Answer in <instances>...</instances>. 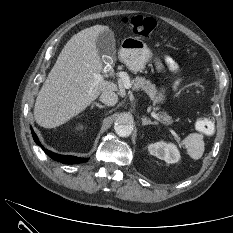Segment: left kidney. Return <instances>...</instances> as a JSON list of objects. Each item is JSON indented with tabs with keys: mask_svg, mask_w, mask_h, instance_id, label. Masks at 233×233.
Listing matches in <instances>:
<instances>
[{
	"mask_svg": "<svg viewBox=\"0 0 233 233\" xmlns=\"http://www.w3.org/2000/svg\"><path fill=\"white\" fill-rule=\"evenodd\" d=\"M148 151L151 155L164 160L166 163H177L180 160L179 150L172 143L164 141L153 143L148 146Z\"/></svg>",
	"mask_w": 233,
	"mask_h": 233,
	"instance_id": "obj_1",
	"label": "left kidney"
}]
</instances>
